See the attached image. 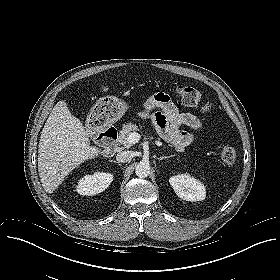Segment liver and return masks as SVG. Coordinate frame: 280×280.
<instances>
[{
	"label": "liver",
	"instance_id": "obj_1",
	"mask_svg": "<svg viewBox=\"0 0 280 280\" xmlns=\"http://www.w3.org/2000/svg\"><path fill=\"white\" fill-rule=\"evenodd\" d=\"M89 134L65 101L54 106L41 132L38 147V171L47 193H53L85 160L101 154L95 146H90Z\"/></svg>",
	"mask_w": 280,
	"mask_h": 280
}]
</instances>
